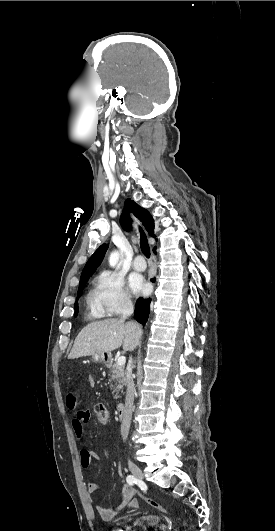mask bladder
<instances>
[{"mask_svg":"<svg viewBox=\"0 0 275 531\" xmlns=\"http://www.w3.org/2000/svg\"><path fill=\"white\" fill-rule=\"evenodd\" d=\"M154 522H158V517L155 515H151L150 519H147L145 516H140L138 517L137 526L138 528H153Z\"/></svg>","mask_w":275,"mask_h":531,"instance_id":"obj_1","label":"bladder"}]
</instances>
